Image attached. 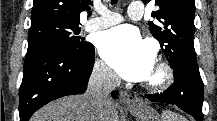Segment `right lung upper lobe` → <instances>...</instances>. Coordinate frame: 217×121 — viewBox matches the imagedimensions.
Listing matches in <instances>:
<instances>
[{
  "instance_id": "right-lung-upper-lobe-1",
  "label": "right lung upper lobe",
  "mask_w": 217,
  "mask_h": 121,
  "mask_svg": "<svg viewBox=\"0 0 217 121\" xmlns=\"http://www.w3.org/2000/svg\"><path fill=\"white\" fill-rule=\"evenodd\" d=\"M91 4V0H34L31 23L44 19H56L80 24V13L89 10Z\"/></svg>"
}]
</instances>
